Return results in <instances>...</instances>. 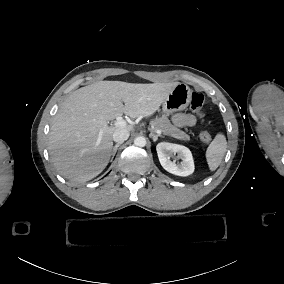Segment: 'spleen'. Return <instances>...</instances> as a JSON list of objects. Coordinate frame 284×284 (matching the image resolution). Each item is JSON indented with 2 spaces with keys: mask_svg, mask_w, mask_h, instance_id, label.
<instances>
[{
  "mask_svg": "<svg viewBox=\"0 0 284 284\" xmlns=\"http://www.w3.org/2000/svg\"><path fill=\"white\" fill-rule=\"evenodd\" d=\"M227 141L223 134H217L207 148L206 159L211 171H214L221 164L226 153Z\"/></svg>",
  "mask_w": 284,
  "mask_h": 284,
  "instance_id": "spleen-1",
  "label": "spleen"
}]
</instances>
